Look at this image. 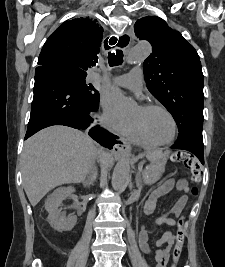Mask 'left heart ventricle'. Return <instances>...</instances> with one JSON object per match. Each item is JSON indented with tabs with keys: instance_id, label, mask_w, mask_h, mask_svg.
<instances>
[{
	"instance_id": "left-heart-ventricle-1",
	"label": "left heart ventricle",
	"mask_w": 225,
	"mask_h": 267,
	"mask_svg": "<svg viewBox=\"0 0 225 267\" xmlns=\"http://www.w3.org/2000/svg\"><path fill=\"white\" fill-rule=\"evenodd\" d=\"M130 119L141 125L152 141L165 142L173 135V123L162 111H145L141 107H137Z\"/></svg>"
}]
</instances>
